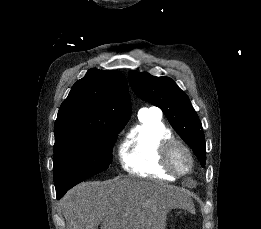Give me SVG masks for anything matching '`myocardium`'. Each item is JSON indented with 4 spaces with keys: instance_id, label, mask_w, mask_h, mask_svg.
<instances>
[{
    "instance_id": "myocardium-1",
    "label": "myocardium",
    "mask_w": 261,
    "mask_h": 229,
    "mask_svg": "<svg viewBox=\"0 0 261 229\" xmlns=\"http://www.w3.org/2000/svg\"><path fill=\"white\" fill-rule=\"evenodd\" d=\"M176 149H182L187 155L188 166L183 170L178 169L174 165L173 154ZM161 152H162L163 165L173 175L184 176V175L189 174L191 172V170L193 169V166H194L193 155H192L190 147L185 142L175 139V138L170 139L163 143Z\"/></svg>"
}]
</instances>
